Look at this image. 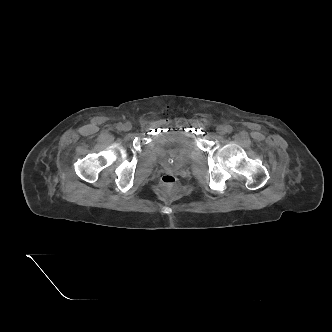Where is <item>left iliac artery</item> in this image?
<instances>
[{
    "instance_id": "obj_1",
    "label": "left iliac artery",
    "mask_w": 332,
    "mask_h": 332,
    "mask_svg": "<svg viewBox=\"0 0 332 332\" xmlns=\"http://www.w3.org/2000/svg\"><path fill=\"white\" fill-rule=\"evenodd\" d=\"M233 131L232 126L228 125L226 126V132L231 133Z\"/></svg>"
}]
</instances>
